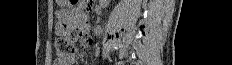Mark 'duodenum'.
<instances>
[{
	"label": "duodenum",
	"instance_id": "1",
	"mask_svg": "<svg viewBox=\"0 0 232 65\" xmlns=\"http://www.w3.org/2000/svg\"><path fill=\"white\" fill-rule=\"evenodd\" d=\"M88 26V23L85 19H82L81 21V29L85 30Z\"/></svg>",
	"mask_w": 232,
	"mask_h": 65
}]
</instances>
